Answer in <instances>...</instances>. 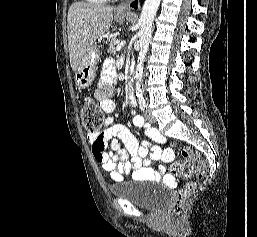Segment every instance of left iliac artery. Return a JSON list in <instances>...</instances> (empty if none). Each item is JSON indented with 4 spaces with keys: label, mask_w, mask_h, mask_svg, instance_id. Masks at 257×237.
I'll return each mask as SVG.
<instances>
[{
    "label": "left iliac artery",
    "mask_w": 257,
    "mask_h": 237,
    "mask_svg": "<svg viewBox=\"0 0 257 237\" xmlns=\"http://www.w3.org/2000/svg\"><path fill=\"white\" fill-rule=\"evenodd\" d=\"M139 105H140V109H141L142 111H145V110L147 109V105H146V103H145L144 100H143V101H140V102H139Z\"/></svg>",
    "instance_id": "left-iliac-artery-1"
}]
</instances>
